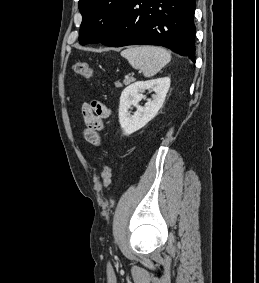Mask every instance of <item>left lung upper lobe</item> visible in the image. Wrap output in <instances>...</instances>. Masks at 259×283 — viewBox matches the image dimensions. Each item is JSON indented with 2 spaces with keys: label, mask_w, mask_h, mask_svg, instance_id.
<instances>
[{
  "label": "left lung upper lobe",
  "mask_w": 259,
  "mask_h": 283,
  "mask_svg": "<svg viewBox=\"0 0 259 283\" xmlns=\"http://www.w3.org/2000/svg\"><path fill=\"white\" fill-rule=\"evenodd\" d=\"M130 0H79L82 14L79 42L82 45L100 43L115 30Z\"/></svg>",
  "instance_id": "5c2ea615"
}]
</instances>
